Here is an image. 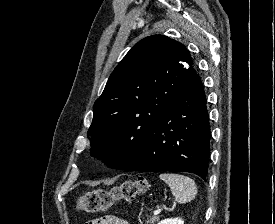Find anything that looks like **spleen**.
I'll use <instances>...</instances> for the list:
<instances>
[{"mask_svg":"<svg viewBox=\"0 0 275 224\" xmlns=\"http://www.w3.org/2000/svg\"><path fill=\"white\" fill-rule=\"evenodd\" d=\"M159 177L168 184L177 202L186 203L195 198L197 186L191 178L173 173H162Z\"/></svg>","mask_w":275,"mask_h":224,"instance_id":"obj_1","label":"spleen"}]
</instances>
